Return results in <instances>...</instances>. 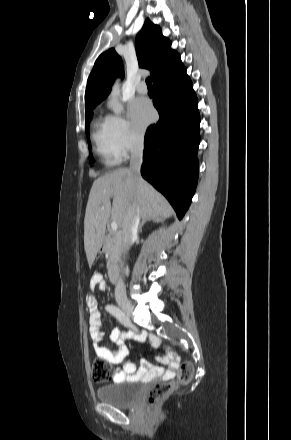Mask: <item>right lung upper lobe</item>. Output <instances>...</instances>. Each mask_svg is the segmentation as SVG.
Masks as SVG:
<instances>
[{
	"label": "right lung upper lobe",
	"instance_id": "right-lung-upper-lobe-1",
	"mask_svg": "<svg viewBox=\"0 0 291 440\" xmlns=\"http://www.w3.org/2000/svg\"><path fill=\"white\" fill-rule=\"evenodd\" d=\"M170 45L160 28L146 19L136 36V50L139 66L151 71L153 83L183 67L180 55ZM117 76H123L122 60L111 48L98 57L89 75L85 92L86 112L107 97Z\"/></svg>",
	"mask_w": 291,
	"mask_h": 440
}]
</instances>
